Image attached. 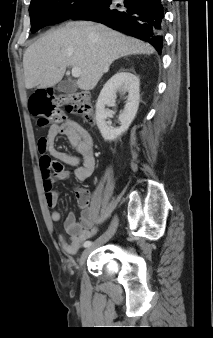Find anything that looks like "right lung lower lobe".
I'll use <instances>...</instances> for the list:
<instances>
[{
    "label": "right lung lower lobe",
    "mask_w": 213,
    "mask_h": 338,
    "mask_svg": "<svg viewBox=\"0 0 213 338\" xmlns=\"http://www.w3.org/2000/svg\"><path fill=\"white\" fill-rule=\"evenodd\" d=\"M164 0H95L74 14L73 20H91L149 42L162 50Z\"/></svg>",
    "instance_id": "98d812e1"
}]
</instances>
